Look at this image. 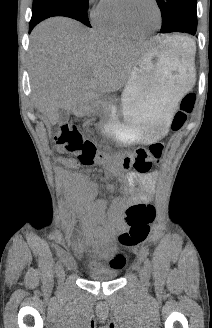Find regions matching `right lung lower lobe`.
Masks as SVG:
<instances>
[{
  "label": "right lung lower lobe",
  "instance_id": "right-lung-lower-lobe-1",
  "mask_svg": "<svg viewBox=\"0 0 212 328\" xmlns=\"http://www.w3.org/2000/svg\"><path fill=\"white\" fill-rule=\"evenodd\" d=\"M52 16H66L74 18L69 12L64 10H49L43 8H37L32 10V18L29 25V33L31 30L41 21Z\"/></svg>",
  "mask_w": 212,
  "mask_h": 328
}]
</instances>
